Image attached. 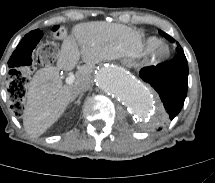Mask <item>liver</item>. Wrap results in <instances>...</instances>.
Wrapping results in <instances>:
<instances>
[{
  "label": "liver",
  "mask_w": 215,
  "mask_h": 183,
  "mask_svg": "<svg viewBox=\"0 0 215 183\" xmlns=\"http://www.w3.org/2000/svg\"><path fill=\"white\" fill-rule=\"evenodd\" d=\"M141 49L139 32L123 24L93 21L75 25L72 35L63 40L57 66L39 69L29 83L23 113L27 133L38 137L60 118L77 96L76 82L91 80L95 64L123 57L136 58ZM80 57L85 64L78 68L76 80L63 85L59 70L74 69Z\"/></svg>",
  "instance_id": "obj_1"
}]
</instances>
